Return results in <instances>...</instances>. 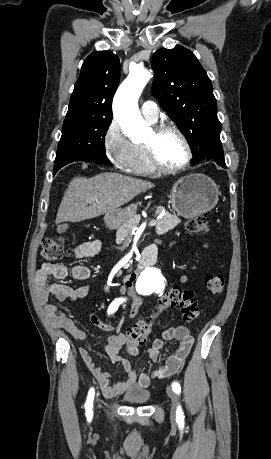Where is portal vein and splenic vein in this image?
I'll return each mask as SVG.
<instances>
[{
    "label": "portal vein and splenic vein",
    "instance_id": "portal-vein-and-splenic-vein-1",
    "mask_svg": "<svg viewBox=\"0 0 271 459\" xmlns=\"http://www.w3.org/2000/svg\"><path fill=\"white\" fill-rule=\"evenodd\" d=\"M148 223L150 224V226H149L150 228H151L152 226H155V225H156L154 221H149Z\"/></svg>",
    "mask_w": 271,
    "mask_h": 459
}]
</instances>
